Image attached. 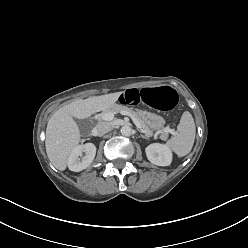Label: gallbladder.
<instances>
[{
  "mask_svg": "<svg viewBox=\"0 0 248 248\" xmlns=\"http://www.w3.org/2000/svg\"><path fill=\"white\" fill-rule=\"evenodd\" d=\"M76 123L82 132H87L90 127V122L86 119H76Z\"/></svg>",
  "mask_w": 248,
  "mask_h": 248,
  "instance_id": "gallbladder-1",
  "label": "gallbladder"
}]
</instances>
